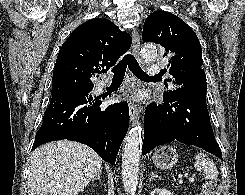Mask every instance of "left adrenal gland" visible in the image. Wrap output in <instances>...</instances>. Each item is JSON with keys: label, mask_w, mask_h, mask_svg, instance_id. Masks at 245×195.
I'll return each mask as SVG.
<instances>
[{"label": "left adrenal gland", "mask_w": 245, "mask_h": 195, "mask_svg": "<svg viewBox=\"0 0 245 195\" xmlns=\"http://www.w3.org/2000/svg\"><path fill=\"white\" fill-rule=\"evenodd\" d=\"M156 178L162 179L161 176H158L157 174H155L153 171L150 172V177L149 180H155Z\"/></svg>", "instance_id": "obj_1"}]
</instances>
